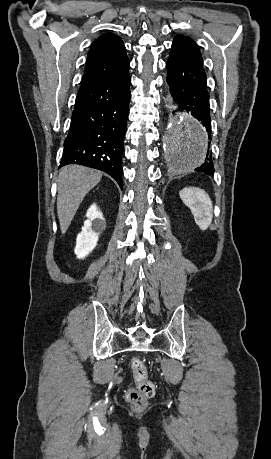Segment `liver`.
I'll return each mask as SVG.
<instances>
[{"instance_id": "1", "label": "liver", "mask_w": 271, "mask_h": 459, "mask_svg": "<svg viewBox=\"0 0 271 459\" xmlns=\"http://www.w3.org/2000/svg\"><path fill=\"white\" fill-rule=\"evenodd\" d=\"M102 172L84 166H64L58 178L57 214L61 233L69 228L86 194L99 184Z\"/></svg>"}]
</instances>
